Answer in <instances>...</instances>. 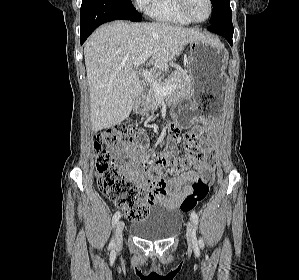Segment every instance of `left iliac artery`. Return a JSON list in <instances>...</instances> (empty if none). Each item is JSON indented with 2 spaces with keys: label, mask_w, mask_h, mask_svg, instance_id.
Returning a JSON list of instances; mask_svg holds the SVG:
<instances>
[{
  "label": "left iliac artery",
  "mask_w": 299,
  "mask_h": 280,
  "mask_svg": "<svg viewBox=\"0 0 299 280\" xmlns=\"http://www.w3.org/2000/svg\"><path fill=\"white\" fill-rule=\"evenodd\" d=\"M190 216H191V219H192V221H193V223L195 225V229H196L197 228V224H198V215L195 212H192L190 214ZM198 243H199L200 247L204 246V242H203L202 238L199 239Z\"/></svg>",
  "instance_id": "obj_1"
}]
</instances>
